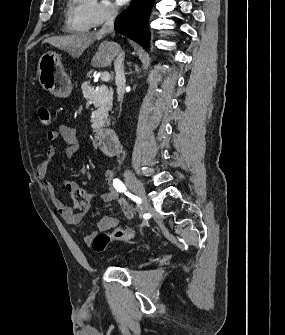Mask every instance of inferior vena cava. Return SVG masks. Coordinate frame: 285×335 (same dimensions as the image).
<instances>
[{"instance_id":"602c4592","label":"inferior vena cava","mask_w":285,"mask_h":335,"mask_svg":"<svg viewBox=\"0 0 285 335\" xmlns=\"http://www.w3.org/2000/svg\"><path fill=\"white\" fill-rule=\"evenodd\" d=\"M118 6L116 4H111L108 2L105 6V24L102 26L99 34H111L114 32V20L118 14L117 10ZM114 48L117 50V58L114 60V68L116 72V86H117V94H118V102H121L124 98L125 94V74L123 70V60H124V52H121L120 46L118 44H113Z\"/></svg>"}]
</instances>
